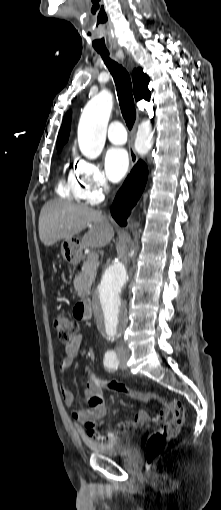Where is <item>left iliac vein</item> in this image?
Here are the masks:
<instances>
[{
	"label": "left iliac vein",
	"instance_id": "left-iliac-vein-1",
	"mask_svg": "<svg viewBox=\"0 0 221 510\" xmlns=\"http://www.w3.org/2000/svg\"><path fill=\"white\" fill-rule=\"evenodd\" d=\"M127 358H128V355L126 353H123L121 356H120V368L121 369H125L127 366H126V361H127Z\"/></svg>",
	"mask_w": 221,
	"mask_h": 510
}]
</instances>
